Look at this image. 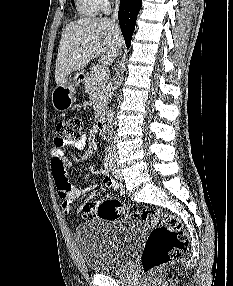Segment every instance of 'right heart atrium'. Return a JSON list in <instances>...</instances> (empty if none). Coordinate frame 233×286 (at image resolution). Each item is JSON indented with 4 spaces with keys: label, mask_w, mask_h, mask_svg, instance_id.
Here are the masks:
<instances>
[{
    "label": "right heart atrium",
    "mask_w": 233,
    "mask_h": 286,
    "mask_svg": "<svg viewBox=\"0 0 233 286\" xmlns=\"http://www.w3.org/2000/svg\"><path fill=\"white\" fill-rule=\"evenodd\" d=\"M101 6V10H107L110 6V0H98Z\"/></svg>",
    "instance_id": "obj_1"
}]
</instances>
